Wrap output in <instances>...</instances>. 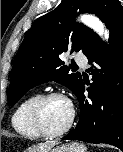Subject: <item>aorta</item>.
Returning <instances> with one entry per match:
<instances>
[{
	"mask_svg": "<svg viewBox=\"0 0 123 152\" xmlns=\"http://www.w3.org/2000/svg\"><path fill=\"white\" fill-rule=\"evenodd\" d=\"M80 20L85 25L92 28L102 38L104 39L108 38V32L105 29L104 24L97 17L92 15H82Z\"/></svg>",
	"mask_w": 123,
	"mask_h": 152,
	"instance_id": "aorta-1",
	"label": "aorta"
}]
</instances>
